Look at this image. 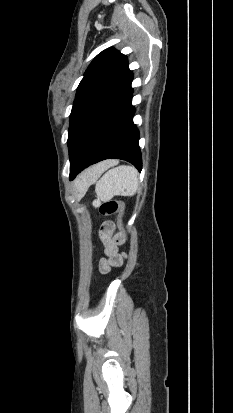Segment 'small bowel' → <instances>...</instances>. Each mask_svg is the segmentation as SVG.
<instances>
[{
  "label": "small bowel",
  "instance_id": "small-bowel-1",
  "mask_svg": "<svg viewBox=\"0 0 233 413\" xmlns=\"http://www.w3.org/2000/svg\"><path fill=\"white\" fill-rule=\"evenodd\" d=\"M101 235L108 258L100 261L99 268L102 273H108L112 267L120 266L123 262V255L118 253V245L123 242V238L120 235L113 236L111 223L105 225Z\"/></svg>",
  "mask_w": 233,
  "mask_h": 413
}]
</instances>
